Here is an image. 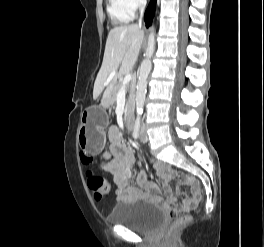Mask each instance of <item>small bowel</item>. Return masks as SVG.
Here are the masks:
<instances>
[{
    "label": "small bowel",
    "instance_id": "obj_1",
    "mask_svg": "<svg viewBox=\"0 0 264 247\" xmlns=\"http://www.w3.org/2000/svg\"><path fill=\"white\" fill-rule=\"evenodd\" d=\"M108 140L109 147L104 153V158L108 162L104 163L102 168L113 175L117 200L119 202H127L134 197L144 194L156 202H161V197L156 194L155 187L149 182L144 171H141L137 178V183L143 190V193L130 184L134 155L132 149L123 141L116 127L109 128ZM154 167L162 182L164 194L170 200L172 198V190L169 181L176 175V172L172 167L161 162H156Z\"/></svg>",
    "mask_w": 264,
    "mask_h": 247
}]
</instances>
